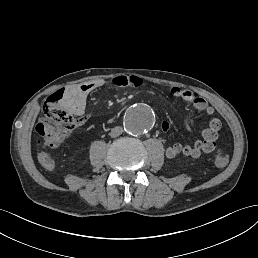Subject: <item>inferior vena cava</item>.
I'll use <instances>...</instances> for the list:
<instances>
[{
    "mask_svg": "<svg viewBox=\"0 0 258 258\" xmlns=\"http://www.w3.org/2000/svg\"><path fill=\"white\" fill-rule=\"evenodd\" d=\"M123 132V128L120 127V126H116L114 127L111 132H110V136L115 138V137H118L119 135H121Z\"/></svg>",
    "mask_w": 258,
    "mask_h": 258,
    "instance_id": "obj_1",
    "label": "inferior vena cava"
}]
</instances>
